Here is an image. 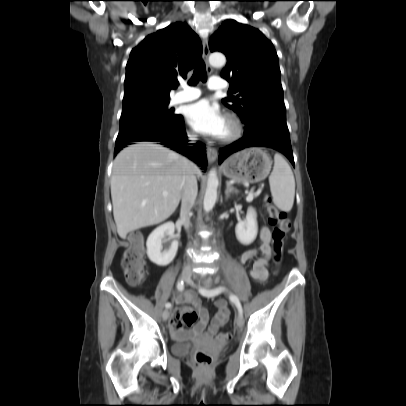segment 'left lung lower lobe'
<instances>
[{"label":"left lung lower lobe","mask_w":406,"mask_h":406,"mask_svg":"<svg viewBox=\"0 0 406 406\" xmlns=\"http://www.w3.org/2000/svg\"><path fill=\"white\" fill-rule=\"evenodd\" d=\"M264 146L283 153L294 165L292 147L286 122L271 119H255L246 124L244 136L231 145L220 149L218 162L244 148Z\"/></svg>","instance_id":"left-lung-lower-lobe-1"}]
</instances>
